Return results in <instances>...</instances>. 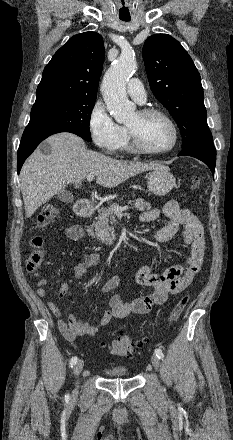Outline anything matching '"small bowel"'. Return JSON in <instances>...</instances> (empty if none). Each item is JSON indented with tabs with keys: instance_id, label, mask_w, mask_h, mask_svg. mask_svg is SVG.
Instances as JSON below:
<instances>
[{
	"instance_id": "obj_1",
	"label": "small bowel",
	"mask_w": 233,
	"mask_h": 440,
	"mask_svg": "<svg viewBox=\"0 0 233 440\" xmlns=\"http://www.w3.org/2000/svg\"><path fill=\"white\" fill-rule=\"evenodd\" d=\"M161 213L168 218V222L163 228L154 233L153 238L158 243L167 242L174 237L179 227L182 226L184 243L188 249L185 261L165 269L162 273L153 272L149 265L141 266L135 274V279L140 285L150 287L151 292L129 303H123L118 295L112 296L97 324L84 323L72 314L64 320L58 305L54 301H48L47 307L57 318L59 330L67 340L94 336L114 318H125L131 314H146L155 306L165 303L170 295L178 294L190 285L203 264L206 246L203 226L192 211L181 207L175 200H169L164 205L162 212L157 208L142 212L140 219L145 223L153 222L161 216ZM65 235L71 241H78L83 235V230L78 225L69 226L65 229ZM99 262V254L95 252L85 253L80 262L74 266L73 277L75 279L82 278ZM120 282V275L109 277L102 284L101 293L114 290ZM46 284L47 280L45 278L38 280L36 292L39 297L47 295ZM67 291L68 285L62 283L57 294L58 298H63Z\"/></svg>"
}]
</instances>
